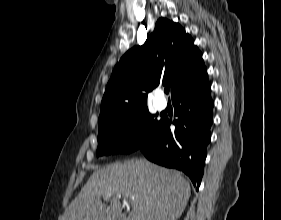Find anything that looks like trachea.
<instances>
[{"label":"trachea","instance_id":"trachea-1","mask_svg":"<svg viewBox=\"0 0 281 220\" xmlns=\"http://www.w3.org/2000/svg\"><path fill=\"white\" fill-rule=\"evenodd\" d=\"M164 91H165L166 94H169L170 88L169 87H165Z\"/></svg>","mask_w":281,"mask_h":220}]
</instances>
